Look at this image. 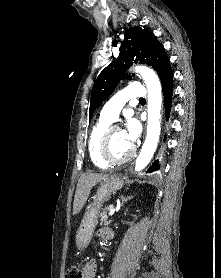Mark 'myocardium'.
I'll return each mask as SVG.
<instances>
[{
	"label": "myocardium",
	"mask_w": 221,
	"mask_h": 278,
	"mask_svg": "<svg viewBox=\"0 0 221 278\" xmlns=\"http://www.w3.org/2000/svg\"><path fill=\"white\" fill-rule=\"evenodd\" d=\"M115 129L121 130V128L117 125L109 126L101 136L100 143H99V156L108 165H122L130 161L135 155L134 147L131 148V151L125 157L120 159L113 158L109 154L110 138L112 132Z\"/></svg>",
	"instance_id": "f54148a6"
}]
</instances>
